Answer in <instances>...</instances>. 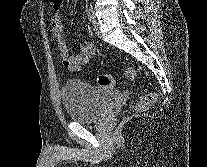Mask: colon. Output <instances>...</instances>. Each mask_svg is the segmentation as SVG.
Masks as SVG:
<instances>
[{"mask_svg":"<svg viewBox=\"0 0 207 167\" xmlns=\"http://www.w3.org/2000/svg\"><path fill=\"white\" fill-rule=\"evenodd\" d=\"M124 74L130 80H135L136 78V72L133 68H127ZM95 81L101 87H113L116 83V79L108 75H98ZM157 98L156 92H146L132 105L131 109L136 112L145 111L156 102Z\"/></svg>","mask_w":207,"mask_h":167,"instance_id":"colon-1","label":"colon"}]
</instances>
